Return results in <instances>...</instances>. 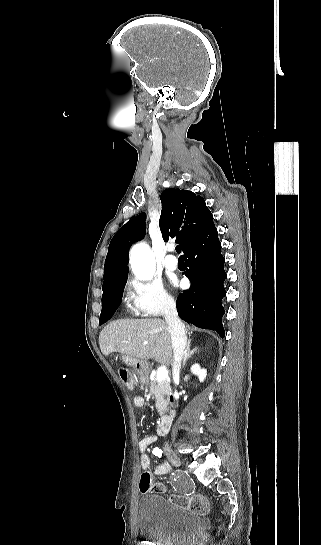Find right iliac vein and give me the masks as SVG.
Masks as SVG:
<instances>
[{
  "label": "right iliac vein",
  "instance_id": "obj_1",
  "mask_svg": "<svg viewBox=\"0 0 321 545\" xmlns=\"http://www.w3.org/2000/svg\"><path fill=\"white\" fill-rule=\"evenodd\" d=\"M164 452H165V455L167 456V459L173 466L179 467L181 465V460L179 456L171 448L169 447L165 448Z\"/></svg>",
  "mask_w": 321,
  "mask_h": 545
}]
</instances>
